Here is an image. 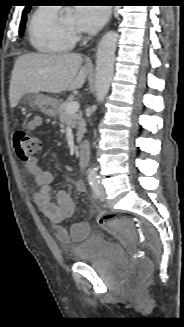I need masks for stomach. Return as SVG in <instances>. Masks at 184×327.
<instances>
[{
    "mask_svg": "<svg viewBox=\"0 0 184 327\" xmlns=\"http://www.w3.org/2000/svg\"><path fill=\"white\" fill-rule=\"evenodd\" d=\"M25 103L36 105L40 111L50 117H55L58 113V101L55 98L43 94H27L23 98Z\"/></svg>",
    "mask_w": 184,
    "mask_h": 327,
    "instance_id": "obj_1",
    "label": "stomach"
}]
</instances>
